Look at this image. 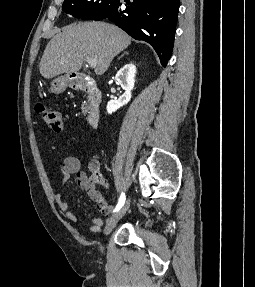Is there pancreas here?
<instances>
[{
  "mask_svg": "<svg viewBox=\"0 0 255 287\" xmlns=\"http://www.w3.org/2000/svg\"><path fill=\"white\" fill-rule=\"evenodd\" d=\"M89 108H87L86 104H82V112L83 114H87Z\"/></svg>",
  "mask_w": 255,
  "mask_h": 287,
  "instance_id": "pancreas-1",
  "label": "pancreas"
}]
</instances>
